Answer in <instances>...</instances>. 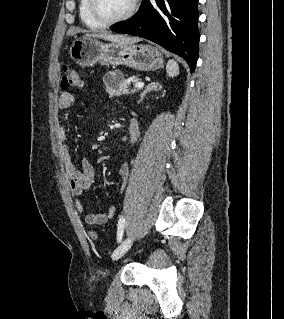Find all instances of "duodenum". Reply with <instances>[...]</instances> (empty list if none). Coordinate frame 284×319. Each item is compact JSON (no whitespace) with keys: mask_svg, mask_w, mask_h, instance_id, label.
<instances>
[{"mask_svg":"<svg viewBox=\"0 0 284 319\" xmlns=\"http://www.w3.org/2000/svg\"><path fill=\"white\" fill-rule=\"evenodd\" d=\"M136 134H137V132H136V129H135V127L134 126H131L130 128H129V138H130V140H134L135 139V137H136Z\"/></svg>","mask_w":284,"mask_h":319,"instance_id":"duodenum-1","label":"duodenum"}]
</instances>
